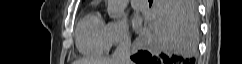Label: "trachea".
Here are the masks:
<instances>
[{
  "mask_svg": "<svg viewBox=\"0 0 242 64\" xmlns=\"http://www.w3.org/2000/svg\"><path fill=\"white\" fill-rule=\"evenodd\" d=\"M153 2V0H149V3H152Z\"/></svg>",
  "mask_w": 242,
  "mask_h": 64,
  "instance_id": "obj_1",
  "label": "trachea"
}]
</instances>
